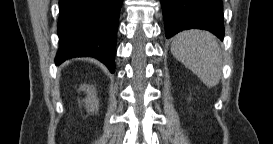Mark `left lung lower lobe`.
Wrapping results in <instances>:
<instances>
[{"instance_id":"left-lung-lower-lobe-1","label":"left lung lower lobe","mask_w":273,"mask_h":144,"mask_svg":"<svg viewBox=\"0 0 273 144\" xmlns=\"http://www.w3.org/2000/svg\"><path fill=\"white\" fill-rule=\"evenodd\" d=\"M166 38L197 28L224 37L222 0H161Z\"/></svg>"}]
</instances>
